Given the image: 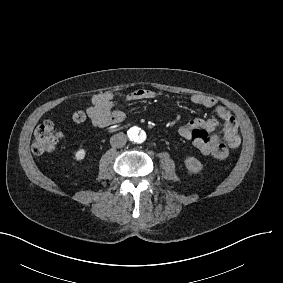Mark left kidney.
<instances>
[{
  "mask_svg": "<svg viewBox=\"0 0 283 283\" xmlns=\"http://www.w3.org/2000/svg\"><path fill=\"white\" fill-rule=\"evenodd\" d=\"M186 166L188 167V169L194 172H199L201 170L202 164L196 158H188L186 160Z\"/></svg>",
  "mask_w": 283,
  "mask_h": 283,
  "instance_id": "left-kidney-1",
  "label": "left kidney"
}]
</instances>
